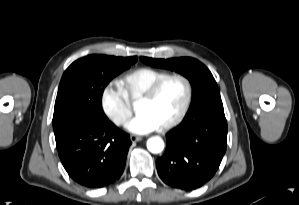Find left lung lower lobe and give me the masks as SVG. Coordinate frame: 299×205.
Listing matches in <instances>:
<instances>
[{
    "mask_svg": "<svg viewBox=\"0 0 299 205\" xmlns=\"http://www.w3.org/2000/svg\"><path fill=\"white\" fill-rule=\"evenodd\" d=\"M166 151L157 159L162 181L174 188L193 190L216 173L227 148L224 110L195 120H183L166 135Z\"/></svg>",
    "mask_w": 299,
    "mask_h": 205,
    "instance_id": "1",
    "label": "left lung lower lobe"
}]
</instances>
